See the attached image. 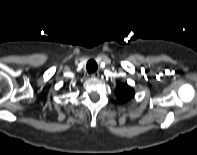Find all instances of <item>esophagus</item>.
Here are the masks:
<instances>
[{
	"label": "esophagus",
	"mask_w": 197,
	"mask_h": 155,
	"mask_svg": "<svg viewBox=\"0 0 197 155\" xmlns=\"http://www.w3.org/2000/svg\"><path fill=\"white\" fill-rule=\"evenodd\" d=\"M99 76H100L99 72H94V73L91 74L92 78H99Z\"/></svg>",
	"instance_id": "1"
}]
</instances>
